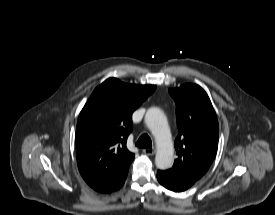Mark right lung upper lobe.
<instances>
[{
  "label": "right lung upper lobe",
  "mask_w": 275,
  "mask_h": 215,
  "mask_svg": "<svg viewBox=\"0 0 275 215\" xmlns=\"http://www.w3.org/2000/svg\"><path fill=\"white\" fill-rule=\"evenodd\" d=\"M156 89L109 78L99 85L80 112L76 152L84 180L96 187L128 173L134 154L126 147L132 129V113Z\"/></svg>",
  "instance_id": "1"
}]
</instances>
